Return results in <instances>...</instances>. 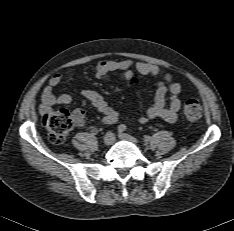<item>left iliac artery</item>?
Masks as SVG:
<instances>
[{
	"label": "left iliac artery",
	"mask_w": 234,
	"mask_h": 231,
	"mask_svg": "<svg viewBox=\"0 0 234 231\" xmlns=\"http://www.w3.org/2000/svg\"><path fill=\"white\" fill-rule=\"evenodd\" d=\"M127 129V127H126V125H124V124H120L119 126H118V131L119 132H123V131H125Z\"/></svg>",
	"instance_id": "obj_1"
}]
</instances>
